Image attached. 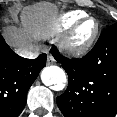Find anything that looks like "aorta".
Segmentation results:
<instances>
[{
    "mask_svg": "<svg viewBox=\"0 0 117 117\" xmlns=\"http://www.w3.org/2000/svg\"><path fill=\"white\" fill-rule=\"evenodd\" d=\"M41 80L46 86L56 85L61 88L63 83L66 82V74L58 66H48L42 70Z\"/></svg>",
    "mask_w": 117,
    "mask_h": 117,
    "instance_id": "762f6f07",
    "label": "aorta"
}]
</instances>
